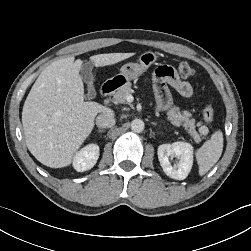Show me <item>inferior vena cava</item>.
I'll return each instance as SVG.
<instances>
[{
    "mask_svg": "<svg viewBox=\"0 0 251 251\" xmlns=\"http://www.w3.org/2000/svg\"><path fill=\"white\" fill-rule=\"evenodd\" d=\"M116 123L115 116L112 112H104L97 116L96 125L99 128H109Z\"/></svg>",
    "mask_w": 251,
    "mask_h": 251,
    "instance_id": "1",
    "label": "inferior vena cava"
}]
</instances>
